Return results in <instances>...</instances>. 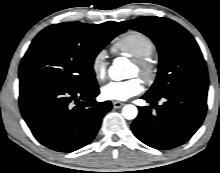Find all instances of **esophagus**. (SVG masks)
Masks as SVG:
<instances>
[{"mask_svg":"<svg viewBox=\"0 0 220 173\" xmlns=\"http://www.w3.org/2000/svg\"><path fill=\"white\" fill-rule=\"evenodd\" d=\"M124 105L123 102H120V101H113V107L114 108H121L122 106Z\"/></svg>","mask_w":220,"mask_h":173,"instance_id":"1","label":"esophagus"}]
</instances>
